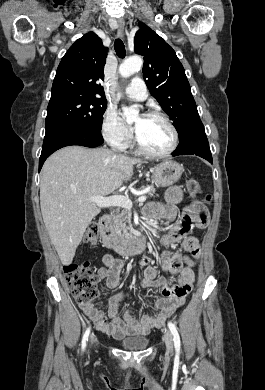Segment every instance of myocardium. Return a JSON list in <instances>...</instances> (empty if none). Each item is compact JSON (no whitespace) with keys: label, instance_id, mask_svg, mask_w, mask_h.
I'll use <instances>...</instances> for the list:
<instances>
[{"label":"myocardium","instance_id":"myocardium-1","mask_svg":"<svg viewBox=\"0 0 265 390\" xmlns=\"http://www.w3.org/2000/svg\"><path fill=\"white\" fill-rule=\"evenodd\" d=\"M145 116L155 117L160 120H162L165 125L169 128L171 135H172V142L168 149H166L163 152H153L149 149H147L143 143L141 142L140 138L138 137L137 133L135 132V143L138 148V150L143 153L146 156L152 157V158H166L174 153V151L177 149L178 143H179V135L176 127L171 122V120L162 112L160 111H148Z\"/></svg>","mask_w":265,"mask_h":390}]
</instances>
